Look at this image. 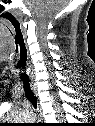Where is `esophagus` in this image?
<instances>
[{"label": "esophagus", "instance_id": "obj_1", "mask_svg": "<svg viewBox=\"0 0 95 126\" xmlns=\"http://www.w3.org/2000/svg\"><path fill=\"white\" fill-rule=\"evenodd\" d=\"M32 90H33L35 96L38 97V92H37V89H36L35 86H32ZM38 115H39V120L41 122H43L44 121V116H43V112H42V108H41L40 104H38Z\"/></svg>", "mask_w": 95, "mask_h": 126}]
</instances>
